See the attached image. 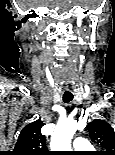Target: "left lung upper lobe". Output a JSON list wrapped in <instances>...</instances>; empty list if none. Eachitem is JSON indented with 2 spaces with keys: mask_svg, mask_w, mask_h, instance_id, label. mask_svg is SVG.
Returning a JSON list of instances; mask_svg holds the SVG:
<instances>
[{
  "mask_svg": "<svg viewBox=\"0 0 115 155\" xmlns=\"http://www.w3.org/2000/svg\"><path fill=\"white\" fill-rule=\"evenodd\" d=\"M91 141L99 145L103 151L98 155H115V132L110 124L96 119L87 125Z\"/></svg>",
  "mask_w": 115,
  "mask_h": 155,
  "instance_id": "obj_1",
  "label": "left lung upper lobe"
}]
</instances>
